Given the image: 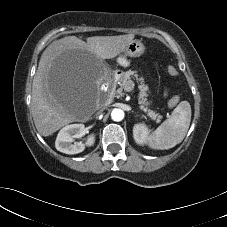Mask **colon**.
Instances as JSON below:
<instances>
[{"label":"colon","instance_id":"5ec220e1","mask_svg":"<svg viewBox=\"0 0 227 227\" xmlns=\"http://www.w3.org/2000/svg\"><path fill=\"white\" fill-rule=\"evenodd\" d=\"M168 73L170 75H176L177 74V70L174 67H169L168 68ZM179 102V98L177 96L172 97L169 101V105L171 107H174L175 105H177V103Z\"/></svg>","mask_w":227,"mask_h":227}]
</instances>
